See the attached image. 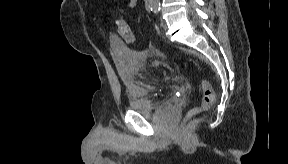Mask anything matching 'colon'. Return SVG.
Instances as JSON below:
<instances>
[{"label":"colon","instance_id":"obj_1","mask_svg":"<svg viewBox=\"0 0 288 164\" xmlns=\"http://www.w3.org/2000/svg\"><path fill=\"white\" fill-rule=\"evenodd\" d=\"M115 24L117 26V31L123 37V39L126 42H133V35L129 29L127 22L124 19L119 18L115 21ZM200 90L202 93L201 108L202 109L210 108L215 101V93L213 91L211 84L207 80H201ZM196 112H197V109H194L190 113V115L195 116Z\"/></svg>","mask_w":288,"mask_h":164}]
</instances>
